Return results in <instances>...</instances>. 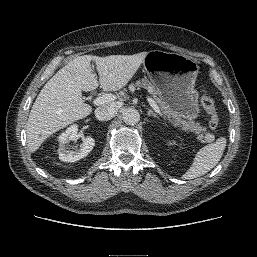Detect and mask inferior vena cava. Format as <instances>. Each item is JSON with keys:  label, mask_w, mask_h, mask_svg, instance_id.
Masks as SVG:
<instances>
[{"label": "inferior vena cava", "mask_w": 257, "mask_h": 257, "mask_svg": "<svg viewBox=\"0 0 257 257\" xmlns=\"http://www.w3.org/2000/svg\"><path fill=\"white\" fill-rule=\"evenodd\" d=\"M119 107L117 103L100 106L95 110V116L99 121H108L117 114Z\"/></svg>", "instance_id": "inferior-vena-cava-1"}]
</instances>
